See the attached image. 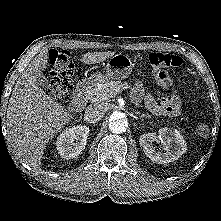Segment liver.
Instances as JSON below:
<instances>
[{
  "instance_id": "6515ba94",
  "label": "liver",
  "mask_w": 221,
  "mask_h": 221,
  "mask_svg": "<svg viewBox=\"0 0 221 221\" xmlns=\"http://www.w3.org/2000/svg\"><path fill=\"white\" fill-rule=\"evenodd\" d=\"M114 52H88L82 62L96 64ZM49 50L41 51L21 73L7 109V134L14 152L31 167H38L47 143L70 121L72 115L37 84L36 75L47 68Z\"/></svg>"
}]
</instances>
